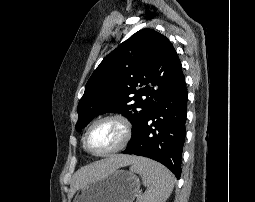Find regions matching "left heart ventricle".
Listing matches in <instances>:
<instances>
[{
  "label": "left heart ventricle",
  "instance_id": "left-heart-ventricle-1",
  "mask_svg": "<svg viewBox=\"0 0 255 202\" xmlns=\"http://www.w3.org/2000/svg\"><path fill=\"white\" fill-rule=\"evenodd\" d=\"M122 139V129L115 122H104L96 126L90 133L89 147L98 153L115 148Z\"/></svg>",
  "mask_w": 255,
  "mask_h": 202
}]
</instances>
